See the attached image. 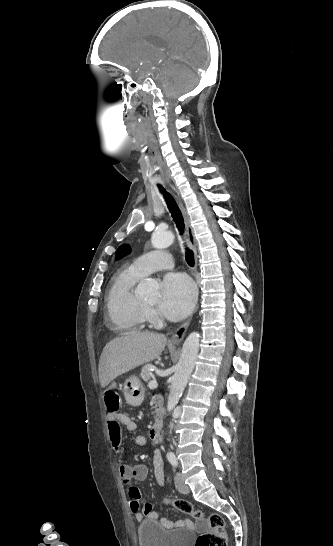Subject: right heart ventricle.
<instances>
[{"label":"right heart ventricle","instance_id":"right-heart-ventricle-1","mask_svg":"<svg viewBox=\"0 0 333 546\" xmlns=\"http://www.w3.org/2000/svg\"><path fill=\"white\" fill-rule=\"evenodd\" d=\"M144 276L133 266L114 276L106 297L107 317L112 327L126 332L144 329L146 307L136 293V285Z\"/></svg>","mask_w":333,"mask_h":546}]
</instances>
